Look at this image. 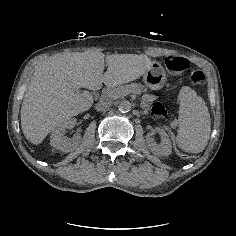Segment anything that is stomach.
Returning <instances> with one entry per match:
<instances>
[{"label":"stomach","instance_id":"stomach-1","mask_svg":"<svg viewBox=\"0 0 236 236\" xmlns=\"http://www.w3.org/2000/svg\"><path fill=\"white\" fill-rule=\"evenodd\" d=\"M144 83L152 90L163 87L166 82V73L162 66L154 64L143 76Z\"/></svg>","mask_w":236,"mask_h":236}]
</instances>
